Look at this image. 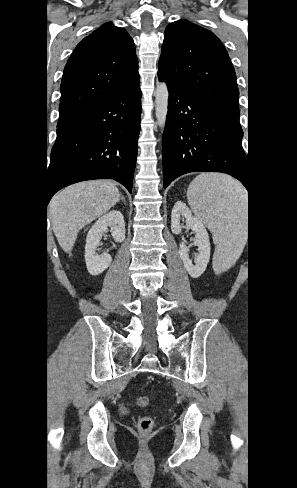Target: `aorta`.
I'll list each match as a JSON object with an SVG mask.
<instances>
[{"mask_svg":"<svg viewBox=\"0 0 297 488\" xmlns=\"http://www.w3.org/2000/svg\"><path fill=\"white\" fill-rule=\"evenodd\" d=\"M168 87L164 82H158L155 91V115L158 125L164 128L168 112Z\"/></svg>","mask_w":297,"mask_h":488,"instance_id":"1","label":"aorta"}]
</instances>
